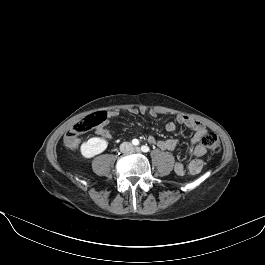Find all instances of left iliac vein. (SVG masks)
Instances as JSON below:
<instances>
[{
  "label": "left iliac vein",
  "instance_id": "left-iliac-vein-1",
  "mask_svg": "<svg viewBox=\"0 0 265 265\" xmlns=\"http://www.w3.org/2000/svg\"><path fill=\"white\" fill-rule=\"evenodd\" d=\"M134 151H136V152H140V148H139V147H135V148H134Z\"/></svg>",
  "mask_w": 265,
  "mask_h": 265
}]
</instances>
